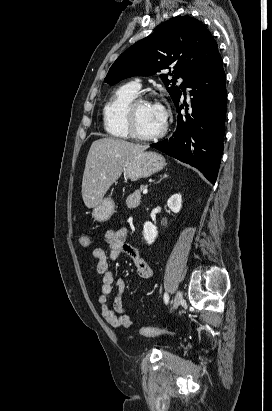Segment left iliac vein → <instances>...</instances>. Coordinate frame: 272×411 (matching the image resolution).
<instances>
[{"label":"left iliac vein","mask_w":272,"mask_h":411,"mask_svg":"<svg viewBox=\"0 0 272 411\" xmlns=\"http://www.w3.org/2000/svg\"><path fill=\"white\" fill-rule=\"evenodd\" d=\"M182 302H183V294L181 291H178L174 298L173 309H176Z\"/></svg>","instance_id":"1"}]
</instances>
